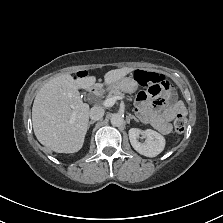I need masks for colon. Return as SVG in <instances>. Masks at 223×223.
Here are the masks:
<instances>
[{"instance_id":"1","label":"colon","mask_w":223,"mask_h":223,"mask_svg":"<svg viewBox=\"0 0 223 223\" xmlns=\"http://www.w3.org/2000/svg\"><path fill=\"white\" fill-rule=\"evenodd\" d=\"M135 80L142 86H153L156 84H163L166 82V79L163 75L154 73V72H147L138 70L134 73ZM187 125V119L184 113L177 114L175 121H174V128L177 133H182Z\"/></svg>"}]
</instances>
